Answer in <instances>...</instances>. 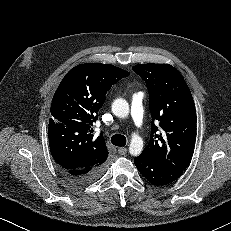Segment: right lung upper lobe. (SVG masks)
<instances>
[{"label":"right lung upper lobe","instance_id":"obj_1","mask_svg":"<svg viewBox=\"0 0 231 231\" xmlns=\"http://www.w3.org/2000/svg\"><path fill=\"white\" fill-rule=\"evenodd\" d=\"M130 73L111 64L86 63L72 68L51 103L48 139L54 160L63 169H90L108 157L105 140L91 134L108 90Z\"/></svg>","mask_w":231,"mask_h":231}]
</instances>
